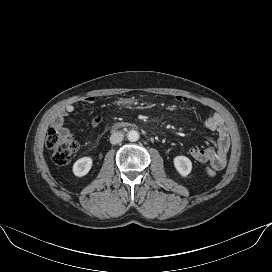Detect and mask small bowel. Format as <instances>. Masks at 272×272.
Here are the masks:
<instances>
[{"label": "small bowel", "instance_id": "obj_1", "mask_svg": "<svg viewBox=\"0 0 272 272\" xmlns=\"http://www.w3.org/2000/svg\"><path fill=\"white\" fill-rule=\"evenodd\" d=\"M179 103H186L188 98L184 95H177L175 97ZM84 102L92 105L95 102V97L87 96ZM75 110L74 105L68 104L62 108L52 121V127L63 135H69V130L65 127V121L68 119L69 114ZM101 122L99 117L92 119L93 125H98ZM204 126L206 129L217 133V142L214 146L205 148H192L189 153L191 157L199 163L209 162L211 167L217 171L225 168L227 163V154L230 147V135L222 117L217 114H211L205 121Z\"/></svg>", "mask_w": 272, "mask_h": 272}]
</instances>
